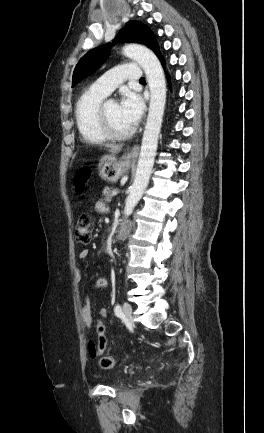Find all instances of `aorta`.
<instances>
[{
    "instance_id": "obj_1",
    "label": "aorta",
    "mask_w": 264,
    "mask_h": 433,
    "mask_svg": "<svg viewBox=\"0 0 264 433\" xmlns=\"http://www.w3.org/2000/svg\"><path fill=\"white\" fill-rule=\"evenodd\" d=\"M122 52L125 56L134 59L143 68L150 89L149 112L143 133L136 176L125 201L124 218L121 226L124 228L128 216L132 214L135 206L142 198L152 173L166 103V81L160 61L148 48L129 44L123 48Z\"/></svg>"
}]
</instances>
